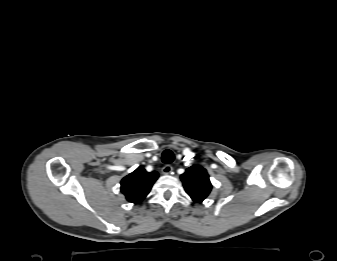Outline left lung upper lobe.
<instances>
[{
    "instance_id": "5c2ea615",
    "label": "left lung upper lobe",
    "mask_w": 337,
    "mask_h": 261,
    "mask_svg": "<svg viewBox=\"0 0 337 261\" xmlns=\"http://www.w3.org/2000/svg\"><path fill=\"white\" fill-rule=\"evenodd\" d=\"M181 180L187 194L197 203H201L212 189L207 171L199 165L189 167L181 175Z\"/></svg>"
}]
</instances>
